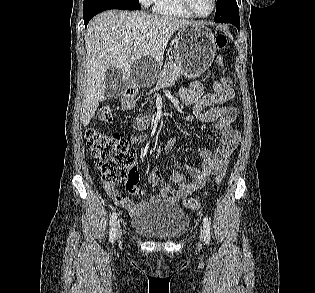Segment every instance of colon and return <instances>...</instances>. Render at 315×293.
Segmentation results:
<instances>
[{
	"instance_id": "5ec220e1",
	"label": "colon",
	"mask_w": 315,
	"mask_h": 293,
	"mask_svg": "<svg viewBox=\"0 0 315 293\" xmlns=\"http://www.w3.org/2000/svg\"><path fill=\"white\" fill-rule=\"evenodd\" d=\"M215 43L219 51L224 50L228 44V36L220 33L215 38ZM218 65L223 68L222 55L217 56ZM216 85H224L216 89L224 91L226 94H235L236 88L232 87L236 83L234 78H216ZM97 118L102 122H111L113 120V111L107 106H101L97 111ZM87 146L98 167L104 183L111 185H125L126 188L138 193L137 188L138 174L133 168L135 161V151L129 147L128 141L119 135H109L97 132L93 129L87 131ZM225 175V169L220 170L213 179V187L220 185ZM184 206L191 210H197L200 202L195 198H186Z\"/></svg>"
}]
</instances>
